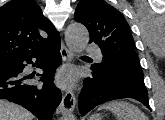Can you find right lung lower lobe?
<instances>
[{"instance_id":"right-lung-lower-lobe-1","label":"right lung lower lobe","mask_w":165,"mask_h":120,"mask_svg":"<svg viewBox=\"0 0 165 120\" xmlns=\"http://www.w3.org/2000/svg\"><path fill=\"white\" fill-rule=\"evenodd\" d=\"M60 45L59 37L38 49L0 63V99L22 105L39 120H50L61 102V92L53 83L54 72L62 62ZM26 63L44 71L40 77L44 83L42 87L32 84L29 80L32 76L23 73Z\"/></svg>"}]
</instances>
